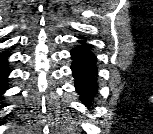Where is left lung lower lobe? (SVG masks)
Returning <instances> with one entry per match:
<instances>
[{
	"mask_svg": "<svg viewBox=\"0 0 153 134\" xmlns=\"http://www.w3.org/2000/svg\"><path fill=\"white\" fill-rule=\"evenodd\" d=\"M82 46L71 50L72 73L75 78V87L80 95L81 101L88 107L93 105L92 101L98 91L97 58L90 50V46L80 41Z\"/></svg>",
	"mask_w": 153,
	"mask_h": 134,
	"instance_id": "obj_1",
	"label": "left lung lower lobe"
}]
</instances>
